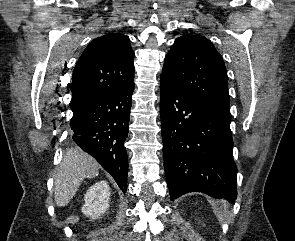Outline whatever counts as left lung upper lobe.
<instances>
[{
	"instance_id": "obj_1",
	"label": "left lung upper lobe",
	"mask_w": 295,
	"mask_h": 241,
	"mask_svg": "<svg viewBox=\"0 0 295 241\" xmlns=\"http://www.w3.org/2000/svg\"><path fill=\"white\" fill-rule=\"evenodd\" d=\"M162 77L187 96L228 117V77L221 55L201 35L177 38L165 57Z\"/></svg>"
}]
</instances>
